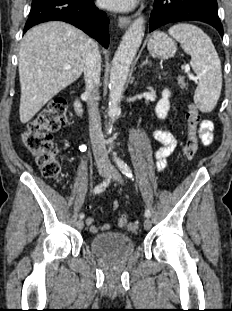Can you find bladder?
I'll list each match as a JSON object with an SVG mask.
<instances>
[{
    "mask_svg": "<svg viewBox=\"0 0 232 311\" xmlns=\"http://www.w3.org/2000/svg\"><path fill=\"white\" fill-rule=\"evenodd\" d=\"M91 250L107 262H116L127 258L134 251L131 237L114 231L95 235L90 240Z\"/></svg>",
    "mask_w": 232,
    "mask_h": 311,
    "instance_id": "obj_1",
    "label": "bladder"
}]
</instances>
